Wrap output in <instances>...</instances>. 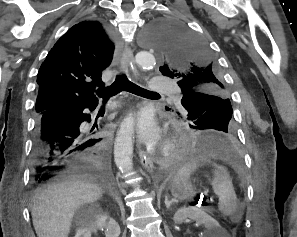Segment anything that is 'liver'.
<instances>
[{
  "label": "liver",
  "instance_id": "obj_1",
  "mask_svg": "<svg viewBox=\"0 0 297 237\" xmlns=\"http://www.w3.org/2000/svg\"><path fill=\"white\" fill-rule=\"evenodd\" d=\"M102 194V188L92 178L79 175L36 192L31 215L37 236L68 237L76 210L99 200Z\"/></svg>",
  "mask_w": 297,
  "mask_h": 237
}]
</instances>
